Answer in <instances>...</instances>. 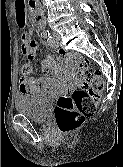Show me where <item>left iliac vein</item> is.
<instances>
[{
	"label": "left iliac vein",
	"mask_w": 123,
	"mask_h": 167,
	"mask_svg": "<svg viewBox=\"0 0 123 167\" xmlns=\"http://www.w3.org/2000/svg\"><path fill=\"white\" fill-rule=\"evenodd\" d=\"M53 40H54V46L55 48H57L60 44V41H61V37L58 33L54 32L53 33Z\"/></svg>",
	"instance_id": "left-iliac-vein-1"
}]
</instances>
